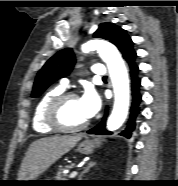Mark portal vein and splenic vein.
Masks as SVG:
<instances>
[{"label": "portal vein and splenic vein", "mask_w": 178, "mask_h": 186, "mask_svg": "<svg viewBox=\"0 0 178 186\" xmlns=\"http://www.w3.org/2000/svg\"><path fill=\"white\" fill-rule=\"evenodd\" d=\"M77 174H78V171H73V172L70 173L69 177L70 178H75L77 176Z\"/></svg>", "instance_id": "portal-vein-and-splenic-vein-1"}]
</instances>
